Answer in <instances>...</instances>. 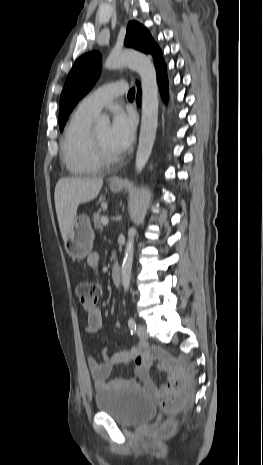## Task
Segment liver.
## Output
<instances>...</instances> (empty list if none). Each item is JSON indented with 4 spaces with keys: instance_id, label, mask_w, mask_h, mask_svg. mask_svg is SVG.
Wrapping results in <instances>:
<instances>
[{
    "instance_id": "1",
    "label": "liver",
    "mask_w": 263,
    "mask_h": 465,
    "mask_svg": "<svg viewBox=\"0 0 263 465\" xmlns=\"http://www.w3.org/2000/svg\"><path fill=\"white\" fill-rule=\"evenodd\" d=\"M103 186L101 178H61L55 186V208L63 240L77 215L78 206L95 199Z\"/></svg>"
}]
</instances>
